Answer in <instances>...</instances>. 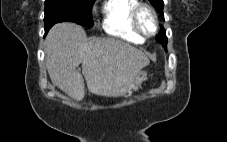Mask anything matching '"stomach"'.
I'll return each instance as SVG.
<instances>
[{"label":"stomach","mask_w":227,"mask_h":142,"mask_svg":"<svg viewBox=\"0 0 227 142\" xmlns=\"http://www.w3.org/2000/svg\"><path fill=\"white\" fill-rule=\"evenodd\" d=\"M146 80H147V72L140 71L136 75V77H135L133 83L131 84V86L129 87L128 91L124 93V96L125 97L130 96L132 94V92L136 91L141 86V84Z\"/></svg>","instance_id":"stomach-1"}]
</instances>
